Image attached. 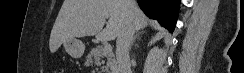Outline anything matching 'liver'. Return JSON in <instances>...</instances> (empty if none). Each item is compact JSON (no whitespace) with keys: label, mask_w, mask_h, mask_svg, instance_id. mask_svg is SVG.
<instances>
[{"label":"liver","mask_w":244,"mask_h":73,"mask_svg":"<svg viewBox=\"0 0 244 73\" xmlns=\"http://www.w3.org/2000/svg\"><path fill=\"white\" fill-rule=\"evenodd\" d=\"M124 6V0H64L51 31L50 52L55 53L62 43L76 37L95 35L99 41L114 40L124 24ZM134 14L135 30L147 27L148 19L137 5Z\"/></svg>","instance_id":"obj_1"}]
</instances>
